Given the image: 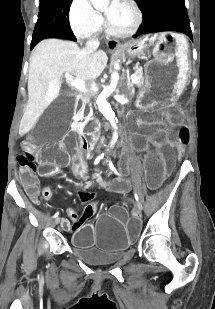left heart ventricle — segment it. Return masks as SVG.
Masks as SVG:
<instances>
[{
  "instance_id": "1",
  "label": "left heart ventricle",
  "mask_w": 215,
  "mask_h": 309,
  "mask_svg": "<svg viewBox=\"0 0 215 309\" xmlns=\"http://www.w3.org/2000/svg\"><path fill=\"white\" fill-rule=\"evenodd\" d=\"M125 13L127 11L123 10ZM113 16L115 17L113 19V24L118 25L119 29H124L125 25H130V18H122V14L120 13L119 10H114L113 11Z\"/></svg>"
}]
</instances>
